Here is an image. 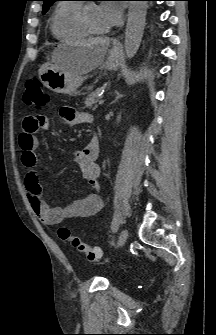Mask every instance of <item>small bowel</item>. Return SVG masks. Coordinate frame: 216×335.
<instances>
[{
	"mask_svg": "<svg viewBox=\"0 0 216 335\" xmlns=\"http://www.w3.org/2000/svg\"><path fill=\"white\" fill-rule=\"evenodd\" d=\"M60 116L71 125L90 123L92 121L90 115L75 113L74 109L69 106H63L60 109ZM47 128L46 120L41 117L40 113H35L34 117L24 119L22 132L18 139L22 151L21 160L26 168L24 186L33 211L45 225H59L66 219L89 217L98 213L102 208L98 193H91L85 198L76 200L66 206L51 207L43 198L36 171V149L38 146L36 134L38 131L46 130ZM99 150L98 139L92 137L82 150L68 152L70 159L81 169L84 179L94 189L99 187L100 167L97 163Z\"/></svg>",
	"mask_w": 216,
	"mask_h": 335,
	"instance_id": "small-bowel-1",
	"label": "small bowel"
}]
</instances>
